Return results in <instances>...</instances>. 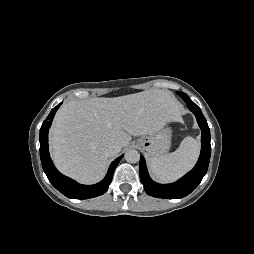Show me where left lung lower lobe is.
I'll return each instance as SVG.
<instances>
[{
	"label": "left lung lower lobe",
	"mask_w": 254,
	"mask_h": 254,
	"mask_svg": "<svg viewBox=\"0 0 254 254\" xmlns=\"http://www.w3.org/2000/svg\"><path fill=\"white\" fill-rule=\"evenodd\" d=\"M186 104L196 116L197 122L202 131L200 157L195 167L177 182L162 185L151 180L148 175L145 159L141 155L139 164L140 180L146 193L153 197L164 199L183 198L190 194L199 185L207 172L211 155L210 129L200 108L192 101H187Z\"/></svg>",
	"instance_id": "0a47b994"
}]
</instances>
